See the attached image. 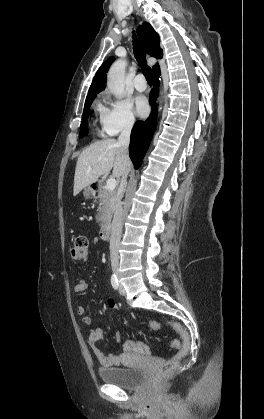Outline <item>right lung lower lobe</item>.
I'll list each match as a JSON object with an SVG mask.
<instances>
[{
	"label": "right lung lower lobe",
	"instance_id": "1",
	"mask_svg": "<svg viewBox=\"0 0 264 419\" xmlns=\"http://www.w3.org/2000/svg\"><path fill=\"white\" fill-rule=\"evenodd\" d=\"M160 74V71L153 73L154 88L149 96V103L152 107L151 114L146 120L137 121L131 132L129 153L135 169L140 167L156 127L157 104L155 101L158 96Z\"/></svg>",
	"mask_w": 264,
	"mask_h": 419
}]
</instances>
